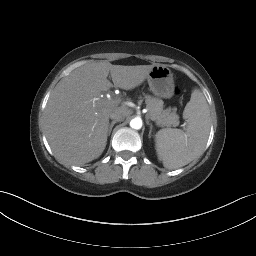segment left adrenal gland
Wrapping results in <instances>:
<instances>
[{"instance_id": "1", "label": "left adrenal gland", "mask_w": 256, "mask_h": 256, "mask_svg": "<svg viewBox=\"0 0 256 256\" xmlns=\"http://www.w3.org/2000/svg\"><path fill=\"white\" fill-rule=\"evenodd\" d=\"M146 123H147V125L150 126V130H149V135L148 136H149V138H151L153 125H152V123L149 122L148 118H146Z\"/></svg>"}]
</instances>
